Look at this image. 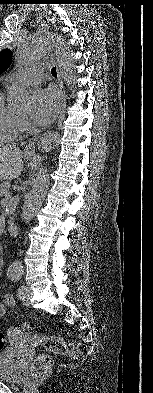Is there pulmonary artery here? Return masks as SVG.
Masks as SVG:
<instances>
[{
	"label": "pulmonary artery",
	"instance_id": "obj_1",
	"mask_svg": "<svg viewBox=\"0 0 153 393\" xmlns=\"http://www.w3.org/2000/svg\"><path fill=\"white\" fill-rule=\"evenodd\" d=\"M42 79L40 64H34L26 68L25 71L13 77V82L20 85L38 84Z\"/></svg>",
	"mask_w": 153,
	"mask_h": 393
}]
</instances>
